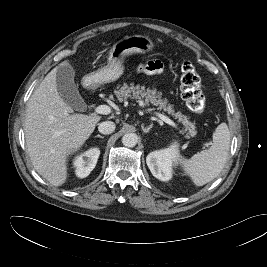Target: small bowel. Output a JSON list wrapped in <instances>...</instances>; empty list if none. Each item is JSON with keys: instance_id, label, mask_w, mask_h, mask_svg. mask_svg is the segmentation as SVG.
<instances>
[{"instance_id": "small-bowel-1", "label": "small bowel", "mask_w": 267, "mask_h": 267, "mask_svg": "<svg viewBox=\"0 0 267 267\" xmlns=\"http://www.w3.org/2000/svg\"><path fill=\"white\" fill-rule=\"evenodd\" d=\"M138 69L143 73H160L162 71V64L159 61H150L140 65Z\"/></svg>"}]
</instances>
